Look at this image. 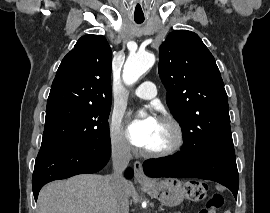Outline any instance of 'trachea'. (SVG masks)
Wrapping results in <instances>:
<instances>
[{"mask_svg": "<svg viewBox=\"0 0 270 213\" xmlns=\"http://www.w3.org/2000/svg\"><path fill=\"white\" fill-rule=\"evenodd\" d=\"M143 21H144L143 19H135V22H136L137 24H141Z\"/></svg>", "mask_w": 270, "mask_h": 213, "instance_id": "3493384b", "label": "trachea"}]
</instances>
